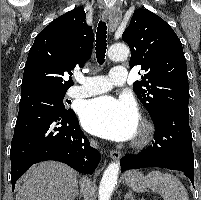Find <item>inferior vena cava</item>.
<instances>
[{"label":"inferior vena cava","instance_id":"602c4592","mask_svg":"<svg viewBox=\"0 0 201 200\" xmlns=\"http://www.w3.org/2000/svg\"><path fill=\"white\" fill-rule=\"evenodd\" d=\"M91 144H92L94 147H98L97 142H95L94 140H91Z\"/></svg>","mask_w":201,"mask_h":200}]
</instances>
